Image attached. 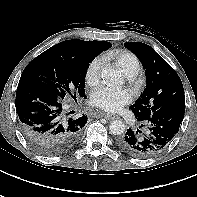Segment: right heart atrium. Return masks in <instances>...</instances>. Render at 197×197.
Returning a JSON list of instances; mask_svg holds the SVG:
<instances>
[{"instance_id": "right-heart-atrium-1", "label": "right heart atrium", "mask_w": 197, "mask_h": 197, "mask_svg": "<svg viewBox=\"0 0 197 197\" xmlns=\"http://www.w3.org/2000/svg\"><path fill=\"white\" fill-rule=\"evenodd\" d=\"M103 60L100 57L94 58L88 65L85 72V81L89 86H97L100 82Z\"/></svg>"}]
</instances>
